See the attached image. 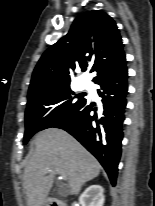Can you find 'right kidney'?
Segmentation results:
<instances>
[{
    "instance_id": "obj_1",
    "label": "right kidney",
    "mask_w": 155,
    "mask_h": 206,
    "mask_svg": "<svg viewBox=\"0 0 155 206\" xmlns=\"http://www.w3.org/2000/svg\"><path fill=\"white\" fill-rule=\"evenodd\" d=\"M104 189L100 185H91L79 197L81 206H103L104 204Z\"/></svg>"
}]
</instances>
